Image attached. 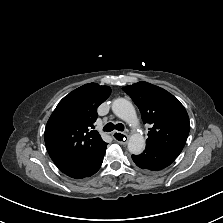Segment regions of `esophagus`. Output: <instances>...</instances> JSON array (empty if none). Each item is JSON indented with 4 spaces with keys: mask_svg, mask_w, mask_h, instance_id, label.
I'll return each mask as SVG.
<instances>
[{
    "mask_svg": "<svg viewBox=\"0 0 223 223\" xmlns=\"http://www.w3.org/2000/svg\"><path fill=\"white\" fill-rule=\"evenodd\" d=\"M112 137L115 141H117L120 144H126L128 142V135L126 133L114 131L112 133Z\"/></svg>",
    "mask_w": 223,
    "mask_h": 223,
    "instance_id": "34e87169",
    "label": "esophagus"
}]
</instances>
